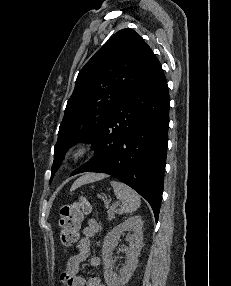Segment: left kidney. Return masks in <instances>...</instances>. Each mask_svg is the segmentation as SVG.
I'll list each match as a JSON object with an SVG mask.
<instances>
[{"instance_id": "5707ae66", "label": "left kidney", "mask_w": 231, "mask_h": 286, "mask_svg": "<svg viewBox=\"0 0 231 286\" xmlns=\"http://www.w3.org/2000/svg\"><path fill=\"white\" fill-rule=\"evenodd\" d=\"M143 222L139 215L132 216L116 226L104 238L102 247V259L104 266V279L107 286H124L131 278L137 268L138 255L143 244ZM125 231H133L130 238V247H125V265L117 272H114V261L112 259L113 249L117 241Z\"/></svg>"}]
</instances>
